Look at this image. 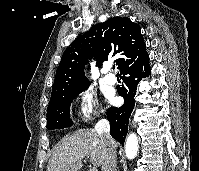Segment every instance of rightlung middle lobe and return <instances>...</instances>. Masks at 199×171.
<instances>
[{"instance_id":"obj_1","label":"right lung middle lobe","mask_w":199,"mask_h":171,"mask_svg":"<svg viewBox=\"0 0 199 171\" xmlns=\"http://www.w3.org/2000/svg\"><path fill=\"white\" fill-rule=\"evenodd\" d=\"M89 85L82 88L72 96L66 97L47 108V128L48 129H62L72 126L70 119V104L80 92L87 90Z\"/></svg>"}]
</instances>
